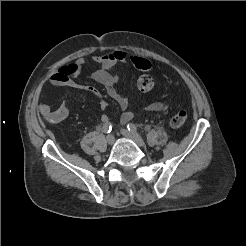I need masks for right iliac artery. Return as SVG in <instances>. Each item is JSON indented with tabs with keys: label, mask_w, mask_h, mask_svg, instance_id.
<instances>
[{
	"label": "right iliac artery",
	"mask_w": 246,
	"mask_h": 246,
	"mask_svg": "<svg viewBox=\"0 0 246 246\" xmlns=\"http://www.w3.org/2000/svg\"><path fill=\"white\" fill-rule=\"evenodd\" d=\"M111 130H112L111 123H110V122H105V123L103 124V131H104L105 133H110Z\"/></svg>",
	"instance_id": "82829eb1"
}]
</instances>
